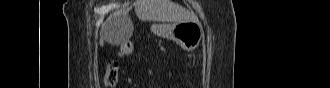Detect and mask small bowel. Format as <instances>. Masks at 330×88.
Listing matches in <instances>:
<instances>
[{"label":"small bowel","mask_w":330,"mask_h":88,"mask_svg":"<svg viewBox=\"0 0 330 88\" xmlns=\"http://www.w3.org/2000/svg\"><path fill=\"white\" fill-rule=\"evenodd\" d=\"M132 50H133V49H132ZM132 50L129 51V50H127V49H125V48L123 47V44L120 45V54H121V55H128V54H130V53L132 52ZM147 75H148V76H151V71H150V70H147Z\"/></svg>","instance_id":"c3829d8e"}]
</instances>
